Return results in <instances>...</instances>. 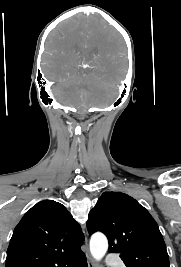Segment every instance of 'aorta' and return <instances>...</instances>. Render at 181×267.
<instances>
[{"instance_id": "obj_1", "label": "aorta", "mask_w": 181, "mask_h": 267, "mask_svg": "<svg viewBox=\"0 0 181 267\" xmlns=\"http://www.w3.org/2000/svg\"><path fill=\"white\" fill-rule=\"evenodd\" d=\"M108 250V241L104 234L96 233L90 239V252L93 258L100 261Z\"/></svg>"}]
</instances>
